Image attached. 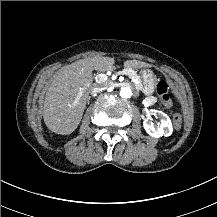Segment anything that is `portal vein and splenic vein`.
<instances>
[{
	"label": "portal vein and splenic vein",
	"instance_id": "portal-vein-and-splenic-vein-1",
	"mask_svg": "<svg viewBox=\"0 0 217 217\" xmlns=\"http://www.w3.org/2000/svg\"><path fill=\"white\" fill-rule=\"evenodd\" d=\"M132 81H134V78H133ZM81 97H82V93H79V94L76 96V99H75V101H74L73 104H72V107H75V106L77 105V103H78V101L81 99Z\"/></svg>",
	"mask_w": 217,
	"mask_h": 217
}]
</instances>
